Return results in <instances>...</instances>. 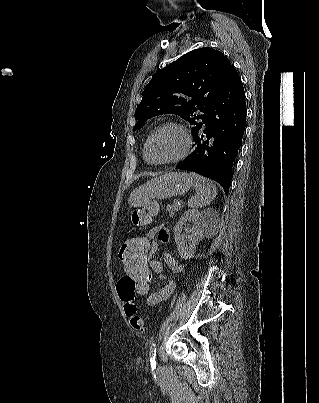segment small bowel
Segmentation results:
<instances>
[{
  "label": "small bowel",
  "instance_id": "obj_1",
  "mask_svg": "<svg viewBox=\"0 0 319 403\" xmlns=\"http://www.w3.org/2000/svg\"><path fill=\"white\" fill-rule=\"evenodd\" d=\"M152 203H154L158 212L159 210L158 204L156 202ZM141 238H147V242L149 243V250L151 256V266L149 270L150 277L151 272H154L159 276V279L162 282V286L159 290L150 292V296H146L147 305L154 306L162 301L167 300L172 295L175 289V282L173 279L169 278L166 275L163 264L159 260L153 258V255L158 248V243L161 244L168 243L170 235L169 232L163 226L158 225L150 229L148 233ZM164 261L172 272L179 273L183 270V266L169 253L164 254ZM146 277H149V274H146ZM147 283H150V280H147ZM132 287L135 289V282L133 283ZM133 296H135V292Z\"/></svg>",
  "mask_w": 319,
  "mask_h": 403
}]
</instances>
